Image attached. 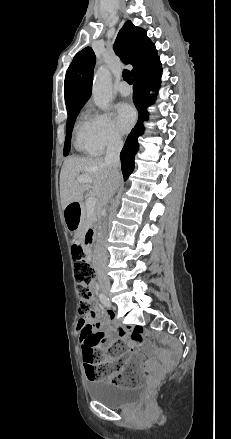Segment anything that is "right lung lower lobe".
Wrapping results in <instances>:
<instances>
[{"mask_svg": "<svg viewBox=\"0 0 231 439\" xmlns=\"http://www.w3.org/2000/svg\"><path fill=\"white\" fill-rule=\"evenodd\" d=\"M162 68L159 57L148 67L135 74L133 86V101L139 112L137 124L127 137L121 151V169L124 180H127L134 169V157L139 148L138 137L144 132L143 122L148 119L146 108L153 103L155 96L150 91H157L160 87Z\"/></svg>", "mask_w": 231, "mask_h": 439, "instance_id": "1", "label": "right lung lower lobe"}]
</instances>
